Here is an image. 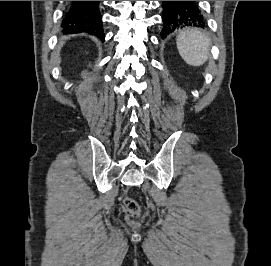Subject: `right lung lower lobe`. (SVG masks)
Wrapping results in <instances>:
<instances>
[{
    "instance_id": "98d812e1",
    "label": "right lung lower lobe",
    "mask_w": 271,
    "mask_h": 266,
    "mask_svg": "<svg viewBox=\"0 0 271 266\" xmlns=\"http://www.w3.org/2000/svg\"><path fill=\"white\" fill-rule=\"evenodd\" d=\"M100 1H72L62 21V27L69 33L88 32L104 40Z\"/></svg>"
}]
</instances>
